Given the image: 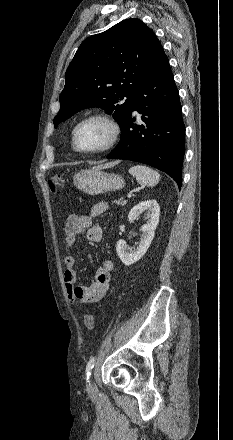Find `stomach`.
I'll return each mask as SVG.
<instances>
[{"label": "stomach", "mask_w": 233, "mask_h": 440, "mask_svg": "<svg viewBox=\"0 0 233 440\" xmlns=\"http://www.w3.org/2000/svg\"><path fill=\"white\" fill-rule=\"evenodd\" d=\"M73 181L79 190L89 195L117 191L125 185L122 176L106 173L98 168L86 169L76 173Z\"/></svg>", "instance_id": "0dacf381"}]
</instances>
